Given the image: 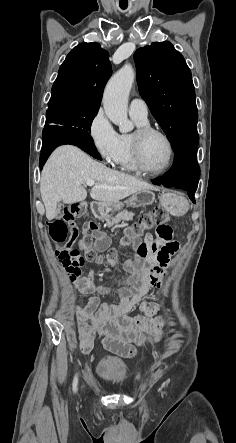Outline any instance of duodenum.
<instances>
[{"label": "duodenum", "instance_id": "obj_1", "mask_svg": "<svg viewBox=\"0 0 236 443\" xmlns=\"http://www.w3.org/2000/svg\"><path fill=\"white\" fill-rule=\"evenodd\" d=\"M92 212L94 216L101 217L104 215V206L95 204L92 206Z\"/></svg>", "mask_w": 236, "mask_h": 443}]
</instances>
